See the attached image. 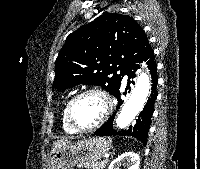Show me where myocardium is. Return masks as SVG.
<instances>
[{"instance_id": "f54148a6", "label": "myocardium", "mask_w": 200, "mask_h": 169, "mask_svg": "<svg viewBox=\"0 0 200 169\" xmlns=\"http://www.w3.org/2000/svg\"><path fill=\"white\" fill-rule=\"evenodd\" d=\"M88 94L99 95L104 101L105 109H104L103 115L101 116V118L98 120V122L96 124H94L93 126L88 127V128H80L76 125V123L74 121L73 107L78 99H80L81 97L88 95ZM113 109H114V102H113V99H112L111 95L109 94V92L101 87L93 86V87H88V88L81 90L80 92L75 94L70 99V101L67 105V118H68L70 125L76 132L88 133V132L95 131L96 129L101 127L107 121V119L113 112Z\"/></svg>"}]
</instances>
